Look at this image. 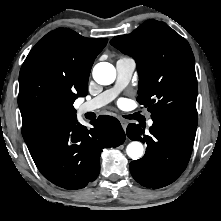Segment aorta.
Masks as SVG:
<instances>
[{"label":"aorta","mask_w":221,"mask_h":221,"mask_svg":"<svg viewBox=\"0 0 221 221\" xmlns=\"http://www.w3.org/2000/svg\"><path fill=\"white\" fill-rule=\"evenodd\" d=\"M93 78L98 84L109 85L116 78V70L112 64L100 62L93 68ZM143 151V145L138 141L131 142L126 148L127 155L133 160L141 158Z\"/></svg>","instance_id":"1"}]
</instances>
